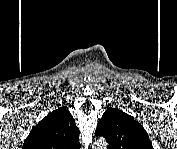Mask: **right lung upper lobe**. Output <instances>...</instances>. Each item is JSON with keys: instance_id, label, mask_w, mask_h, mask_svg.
Segmentation results:
<instances>
[{"instance_id": "obj_1", "label": "right lung upper lobe", "mask_w": 177, "mask_h": 149, "mask_svg": "<svg viewBox=\"0 0 177 149\" xmlns=\"http://www.w3.org/2000/svg\"><path fill=\"white\" fill-rule=\"evenodd\" d=\"M79 129L66 107L43 118L26 138L25 149H79Z\"/></svg>"}]
</instances>
